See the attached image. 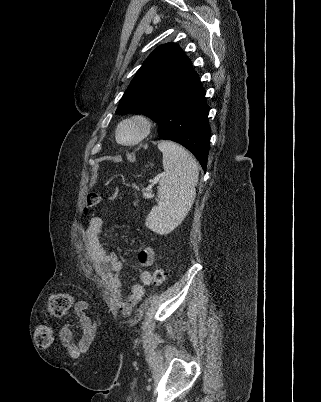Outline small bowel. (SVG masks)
<instances>
[{
	"instance_id": "obj_1",
	"label": "small bowel",
	"mask_w": 321,
	"mask_h": 402,
	"mask_svg": "<svg viewBox=\"0 0 321 402\" xmlns=\"http://www.w3.org/2000/svg\"><path fill=\"white\" fill-rule=\"evenodd\" d=\"M102 225L103 219L99 216H93L89 221L87 242L90 255L96 272L106 280L117 308L124 316H128L133 308L141 302L146 287L151 283V274L145 268L151 266L154 262V248L145 247L138 253L137 262L144 269L140 273V282L132 286L130 295L125 298L119 276L122 259L116 251H108L102 244L100 239ZM75 308V314L83 319V334L80 335V344L73 343L71 332L67 328H61L58 331V336L63 346L67 348L70 357L84 358L87 347H92L93 345L91 335L97 333V328L95 327V321L88 320L89 314L84 311L88 308L86 303L77 302ZM65 327H70V322H65Z\"/></svg>"
}]
</instances>
